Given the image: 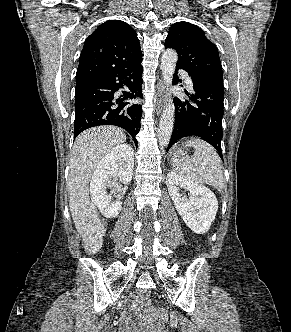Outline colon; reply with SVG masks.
<instances>
[{"instance_id": "obj_1", "label": "colon", "mask_w": 291, "mask_h": 332, "mask_svg": "<svg viewBox=\"0 0 291 332\" xmlns=\"http://www.w3.org/2000/svg\"><path fill=\"white\" fill-rule=\"evenodd\" d=\"M141 302H142V304H143V306L146 310H148V311L153 310L152 305H151L150 301L147 298H142Z\"/></svg>"}]
</instances>
